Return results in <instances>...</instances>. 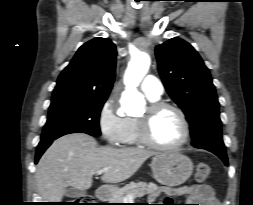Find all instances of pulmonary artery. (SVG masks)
<instances>
[{
	"instance_id": "pulmonary-artery-1",
	"label": "pulmonary artery",
	"mask_w": 253,
	"mask_h": 205,
	"mask_svg": "<svg viewBox=\"0 0 253 205\" xmlns=\"http://www.w3.org/2000/svg\"><path fill=\"white\" fill-rule=\"evenodd\" d=\"M141 90L149 97L160 98L164 88L162 82L157 77L148 75L141 83Z\"/></svg>"
}]
</instances>
